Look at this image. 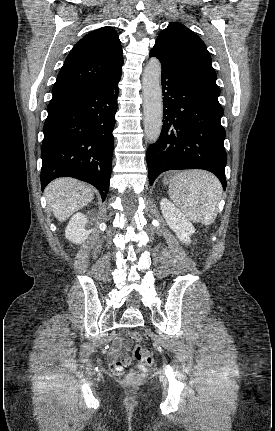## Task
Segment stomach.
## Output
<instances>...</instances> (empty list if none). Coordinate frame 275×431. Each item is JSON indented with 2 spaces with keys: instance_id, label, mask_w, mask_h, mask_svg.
Instances as JSON below:
<instances>
[{
  "instance_id": "1",
  "label": "stomach",
  "mask_w": 275,
  "mask_h": 431,
  "mask_svg": "<svg viewBox=\"0 0 275 431\" xmlns=\"http://www.w3.org/2000/svg\"><path fill=\"white\" fill-rule=\"evenodd\" d=\"M169 180H170V179H169L168 177H165L163 181H164V183H168V182H169Z\"/></svg>"
}]
</instances>
